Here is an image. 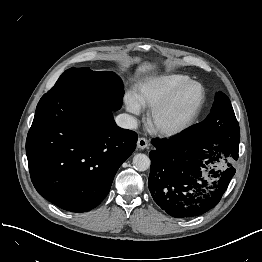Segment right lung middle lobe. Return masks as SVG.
Here are the masks:
<instances>
[{"label": "right lung middle lobe", "mask_w": 262, "mask_h": 262, "mask_svg": "<svg viewBox=\"0 0 262 262\" xmlns=\"http://www.w3.org/2000/svg\"><path fill=\"white\" fill-rule=\"evenodd\" d=\"M82 92L101 99L110 110L121 108L124 95L121 79L111 71H92L88 67L66 70L47 94Z\"/></svg>", "instance_id": "1"}]
</instances>
